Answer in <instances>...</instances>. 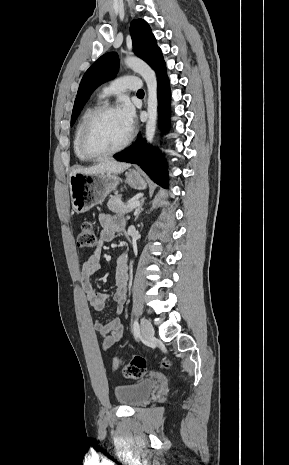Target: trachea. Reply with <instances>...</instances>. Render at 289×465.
Masks as SVG:
<instances>
[{"mask_svg": "<svg viewBox=\"0 0 289 465\" xmlns=\"http://www.w3.org/2000/svg\"><path fill=\"white\" fill-rule=\"evenodd\" d=\"M138 95H144V91L141 89L137 92Z\"/></svg>", "mask_w": 289, "mask_h": 465, "instance_id": "3493384b", "label": "trachea"}]
</instances>
